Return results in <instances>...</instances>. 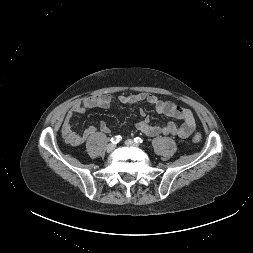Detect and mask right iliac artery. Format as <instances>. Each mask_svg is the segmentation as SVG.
Instances as JSON below:
<instances>
[{"label": "right iliac artery", "instance_id": "obj_1", "mask_svg": "<svg viewBox=\"0 0 253 253\" xmlns=\"http://www.w3.org/2000/svg\"><path fill=\"white\" fill-rule=\"evenodd\" d=\"M121 139H122L121 136H115V137L111 138V142H112L113 144H116V143H118Z\"/></svg>", "mask_w": 253, "mask_h": 253}]
</instances>
